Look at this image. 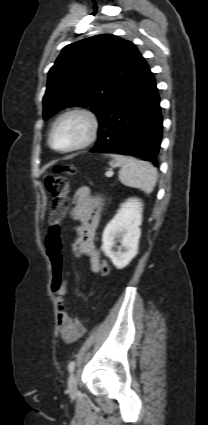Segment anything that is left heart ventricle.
I'll list each match as a JSON object with an SVG mask.
<instances>
[{
  "mask_svg": "<svg viewBox=\"0 0 208 425\" xmlns=\"http://www.w3.org/2000/svg\"><path fill=\"white\" fill-rule=\"evenodd\" d=\"M87 123L81 117H69L57 127L53 144L57 148H67L79 143L87 133Z\"/></svg>",
  "mask_w": 208,
  "mask_h": 425,
  "instance_id": "left-heart-ventricle-1",
  "label": "left heart ventricle"
}]
</instances>
